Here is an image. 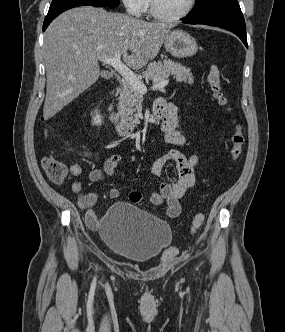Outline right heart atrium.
Listing matches in <instances>:
<instances>
[{"label":"right heart atrium","mask_w":285,"mask_h":332,"mask_svg":"<svg viewBox=\"0 0 285 332\" xmlns=\"http://www.w3.org/2000/svg\"><path fill=\"white\" fill-rule=\"evenodd\" d=\"M127 13L133 16L142 14L148 5V0H121Z\"/></svg>","instance_id":"1"}]
</instances>
